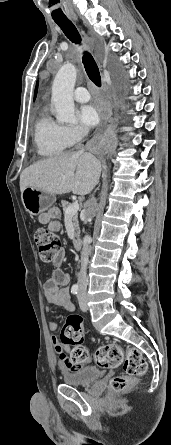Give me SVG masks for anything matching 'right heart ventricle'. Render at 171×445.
Instances as JSON below:
<instances>
[{"label":"right heart ventricle","instance_id":"1","mask_svg":"<svg viewBox=\"0 0 171 445\" xmlns=\"http://www.w3.org/2000/svg\"><path fill=\"white\" fill-rule=\"evenodd\" d=\"M34 141L41 156L62 154L70 145L64 135L63 126L46 112L40 115L35 125Z\"/></svg>","mask_w":171,"mask_h":445}]
</instances>
